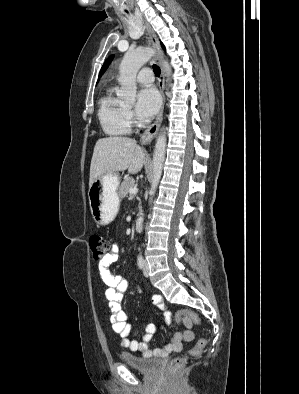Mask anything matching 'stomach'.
Segmentation results:
<instances>
[{
	"label": "stomach",
	"instance_id": "0dacf381",
	"mask_svg": "<svg viewBox=\"0 0 299 394\" xmlns=\"http://www.w3.org/2000/svg\"><path fill=\"white\" fill-rule=\"evenodd\" d=\"M119 184L118 174H106L89 187V205L96 224L107 225L115 218L120 204Z\"/></svg>",
	"mask_w": 299,
	"mask_h": 394
}]
</instances>
